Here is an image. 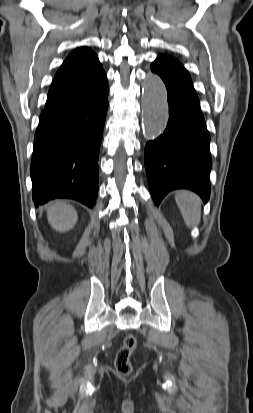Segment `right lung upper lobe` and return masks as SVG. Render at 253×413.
I'll list each match as a JSON object with an SVG mask.
<instances>
[{"instance_id":"cb5924a9","label":"right lung upper lobe","mask_w":253,"mask_h":413,"mask_svg":"<svg viewBox=\"0 0 253 413\" xmlns=\"http://www.w3.org/2000/svg\"><path fill=\"white\" fill-rule=\"evenodd\" d=\"M106 80V74L96 54L87 47L71 52L49 89L45 109L89 95Z\"/></svg>"}]
</instances>
